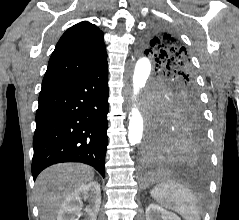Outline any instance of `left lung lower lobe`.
I'll return each instance as SVG.
<instances>
[{"instance_id": "1", "label": "left lung lower lobe", "mask_w": 239, "mask_h": 220, "mask_svg": "<svg viewBox=\"0 0 239 220\" xmlns=\"http://www.w3.org/2000/svg\"><path fill=\"white\" fill-rule=\"evenodd\" d=\"M206 156L201 112H164L159 108L154 111L142 156L145 173L155 174L172 163L197 164Z\"/></svg>"}]
</instances>
